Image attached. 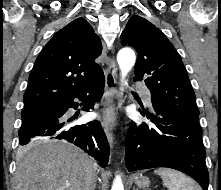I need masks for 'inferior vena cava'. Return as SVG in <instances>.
<instances>
[{"mask_svg": "<svg viewBox=\"0 0 221 190\" xmlns=\"http://www.w3.org/2000/svg\"><path fill=\"white\" fill-rule=\"evenodd\" d=\"M95 182H96V179H95V174H94V176H93V178H92V180H91V182H90V184H89L88 190H94V188H95Z\"/></svg>", "mask_w": 221, "mask_h": 190, "instance_id": "obj_1", "label": "inferior vena cava"}]
</instances>
